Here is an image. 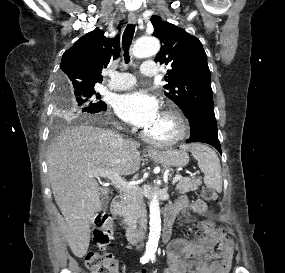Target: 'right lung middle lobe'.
<instances>
[{
    "mask_svg": "<svg viewBox=\"0 0 285 273\" xmlns=\"http://www.w3.org/2000/svg\"><path fill=\"white\" fill-rule=\"evenodd\" d=\"M100 98L93 87L71 89L62 77L59 78L57 107L60 117L64 119L74 120L99 112L105 105Z\"/></svg>",
    "mask_w": 285,
    "mask_h": 273,
    "instance_id": "1",
    "label": "right lung middle lobe"
}]
</instances>
